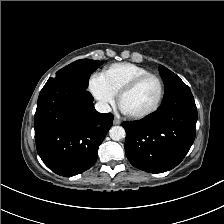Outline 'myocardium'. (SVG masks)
Wrapping results in <instances>:
<instances>
[{"label": "myocardium", "mask_w": 224, "mask_h": 224, "mask_svg": "<svg viewBox=\"0 0 224 224\" xmlns=\"http://www.w3.org/2000/svg\"><path fill=\"white\" fill-rule=\"evenodd\" d=\"M149 78H153L158 82L159 85V94L157 97V100L155 101V103L153 104L152 107H150L148 110L140 112V113H133V114H128L129 117L133 118V119H142L145 117H148L150 115H152L153 113H155L164 98V93H165V86H164V82L161 79L160 76L153 74V73H147L144 75H140L137 76L135 78H133L132 80H130L128 83H126L117 93V101L118 104H121V100L123 98V96H125L127 93L131 92L134 88H136L142 81L149 79ZM121 106V105H120Z\"/></svg>", "instance_id": "obj_1"}]
</instances>
